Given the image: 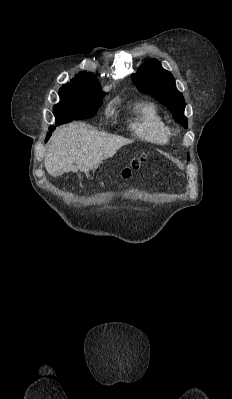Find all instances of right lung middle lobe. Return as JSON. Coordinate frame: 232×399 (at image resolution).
Masks as SVG:
<instances>
[{
  "mask_svg": "<svg viewBox=\"0 0 232 399\" xmlns=\"http://www.w3.org/2000/svg\"><path fill=\"white\" fill-rule=\"evenodd\" d=\"M60 102L54 106L56 120H83L93 117L105 95L59 94Z\"/></svg>",
  "mask_w": 232,
  "mask_h": 399,
  "instance_id": "right-lung-middle-lobe-1",
  "label": "right lung middle lobe"
}]
</instances>
